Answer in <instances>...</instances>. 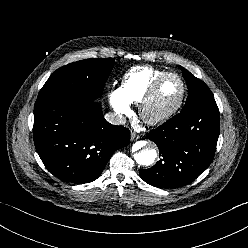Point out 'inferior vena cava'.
<instances>
[{
  "instance_id": "obj_1",
  "label": "inferior vena cava",
  "mask_w": 248,
  "mask_h": 248,
  "mask_svg": "<svg viewBox=\"0 0 248 248\" xmlns=\"http://www.w3.org/2000/svg\"><path fill=\"white\" fill-rule=\"evenodd\" d=\"M105 119L113 125H123L126 122V119L118 113L109 112L105 115Z\"/></svg>"
}]
</instances>
